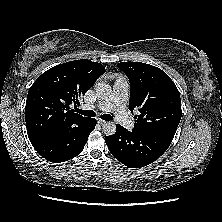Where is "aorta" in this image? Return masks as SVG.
Here are the masks:
<instances>
[{
	"label": "aorta",
	"mask_w": 222,
	"mask_h": 222,
	"mask_svg": "<svg viewBox=\"0 0 222 222\" xmlns=\"http://www.w3.org/2000/svg\"><path fill=\"white\" fill-rule=\"evenodd\" d=\"M95 92L98 98L105 99L111 93V87L107 83H97ZM102 130L107 136L113 135L116 132V124L113 121H107L103 124Z\"/></svg>",
	"instance_id": "762f6f07"
}]
</instances>
